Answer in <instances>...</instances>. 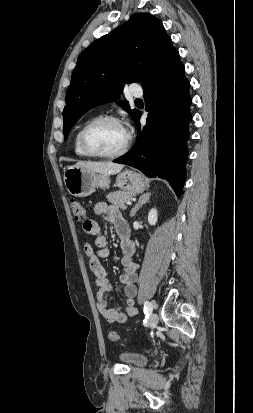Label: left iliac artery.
Instances as JSON below:
<instances>
[{
    "label": "left iliac artery",
    "mask_w": 253,
    "mask_h": 413,
    "mask_svg": "<svg viewBox=\"0 0 253 413\" xmlns=\"http://www.w3.org/2000/svg\"><path fill=\"white\" fill-rule=\"evenodd\" d=\"M153 311L152 304L149 301L144 302V313L146 314V318H149Z\"/></svg>",
    "instance_id": "44dca946"
}]
</instances>
